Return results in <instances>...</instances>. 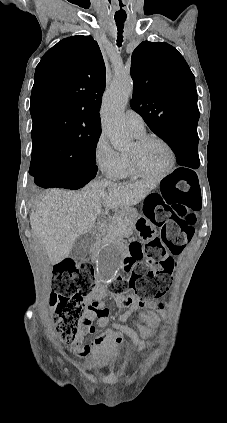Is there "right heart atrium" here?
I'll list each match as a JSON object with an SVG mask.
<instances>
[{
	"instance_id": "d8ad5b80",
	"label": "right heart atrium",
	"mask_w": 227,
	"mask_h": 423,
	"mask_svg": "<svg viewBox=\"0 0 227 423\" xmlns=\"http://www.w3.org/2000/svg\"><path fill=\"white\" fill-rule=\"evenodd\" d=\"M94 160L99 170L111 179H120L125 173L122 154L110 144L105 133H99L94 146Z\"/></svg>"
}]
</instances>
